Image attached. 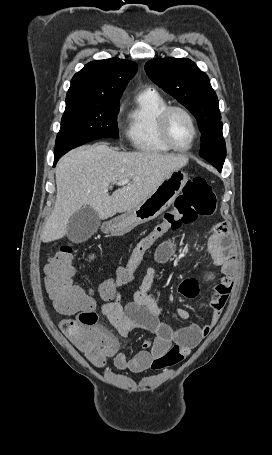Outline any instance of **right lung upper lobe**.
I'll return each mask as SVG.
<instances>
[{
  "label": "right lung upper lobe",
  "instance_id": "cb5924a9",
  "mask_svg": "<svg viewBox=\"0 0 272 455\" xmlns=\"http://www.w3.org/2000/svg\"><path fill=\"white\" fill-rule=\"evenodd\" d=\"M136 71V63L119 58L90 62L72 78L66 105L117 103Z\"/></svg>",
  "mask_w": 272,
  "mask_h": 455
}]
</instances>
